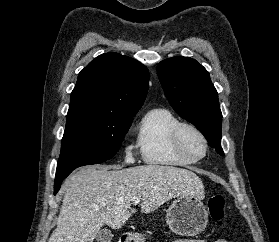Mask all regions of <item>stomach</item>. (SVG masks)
Listing matches in <instances>:
<instances>
[{
    "mask_svg": "<svg viewBox=\"0 0 279 242\" xmlns=\"http://www.w3.org/2000/svg\"><path fill=\"white\" fill-rule=\"evenodd\" d=\"M166 222L176 235L195 236L206 228L208 212L200 198L192 195L179 196L169 206Z\"/></svg>",
    "mask_w": 279,
    "mask_h": 242,
    "instance_id": "0dacf381",
    "label": "stomach"
}]
</instances>
